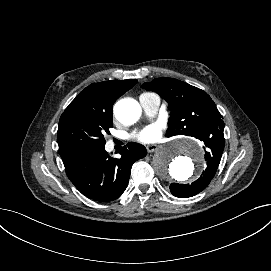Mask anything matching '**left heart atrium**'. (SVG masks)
Masks as SVG:
<instances>
[{"label": "left heart atrium", "instance_id": "left-heart-atrium-1", "mask_svg": "<svg viewBox=\"0 0 271 271\" xmlns=\"http://www.w3.org/2000/svg\"><path fill=\"white\" fill-rule=\"evenodd\" d=\"M162 125L153 124L146 127L137 135V139L143 143H154L161 137Z\"/></svg>", "mask_w": 271, "mask_h": 271}]
</instances>
